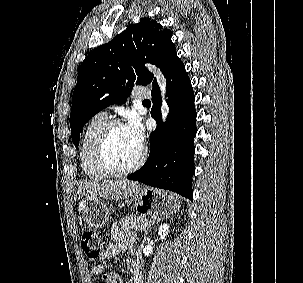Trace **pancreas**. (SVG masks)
I'll list each match as a JSON object with an SVG mask.
<instances>
[{"label": "pancreas", "mask_w": 303, "mask_h": 283, "mask_svg": "<svg viewBox=\"0 0 303 283\" xmlns=\"http://www.w3.org/2000/svg\"><path fill=\"white\" fill-rule=\"evenodd\" d=\"M119 223L124 232L143 231L147 219L144 215L130 214L122 218Z\"/></svg>", "instance_id": "cf45deb5"}]
</instances>
